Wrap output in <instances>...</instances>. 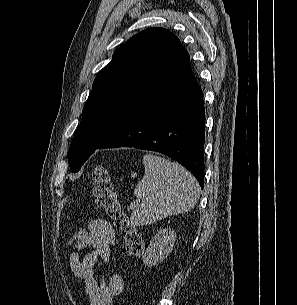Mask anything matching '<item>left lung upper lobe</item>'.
Returning <instances> with one entry per match:
<instances>
[{
    "label": "left lung upper lobe",
    "instance_id": "5c2ea615",
    "mask_svg": "<svg viewBox=\"0 0 297 305\" xmlns=\"http://www.w3.org/2000/svg\"><path fill=\"white\" fill-rule=\"evenodd\" d=\"M189 54L164 28L131 37L97 74L67 153L76 173L110 137L130 106L157 82L191 73Z\"/></svg>",
    "mask_w": 297,
    "mask_h": 305
}]
</instances>
